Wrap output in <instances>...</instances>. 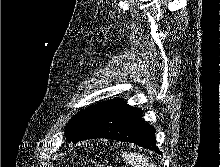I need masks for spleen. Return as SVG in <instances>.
Returning <instances> with one entry per match:
<instances>
[{"mask_svg": "<svg viewBox=\"0 0 220 167\" xmlns=\"http://www.w3.org/2000/svg\"><path fill=\"white\" fill-rule=\"evenodd\" d=\"M122 157L124 161L134 167H156L154 163L140 153H124Z\"/></svg>", "mask_w": 220, "mask_h": 167, "instance_id": "spleen-1", "label": "spleen"}]
</instances>
